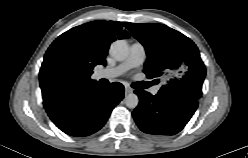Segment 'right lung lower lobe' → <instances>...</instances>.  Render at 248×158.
Here are the masks:
<instances>
[{"instance_id":"98d812e1","label":"right lung lower lobe","mask_w":248,"mask_h":158,"mask_svg":"<svg viewBox=\"0 0 248 158\" xmlns=\"http://www.w3.org/2000/svg\"><path fill=\"white\" fill-rule=\"evenodd\" d=\"M124 87L112 83L109 88L98 83L67 92L43 102L53 123L71 136H88L107 121L112 109L123 99Z\"/></svg>"}]
</instances>
